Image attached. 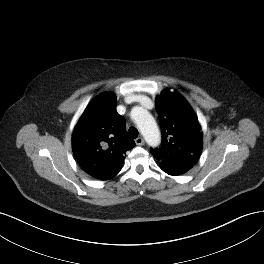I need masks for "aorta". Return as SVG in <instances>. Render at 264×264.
Listing matches in <instances>:
<instances>
[{
    "label": "aorta",
    "instance_id": "obj_1",
    "mask_svg": "<svg viewBox=\"0 0 264 264\" xmlns=\"http://www.w3.org/2000/svg\"><path fill=\"white\" fill-rule=\"evenodd\" d=\"M133 113L135 123L146 142L152 147L159 145L161 140L160 131L152 115L142 107L134 108Z\"/></svg>",
    "mask_w": 264,
    "mask_h": 264
}]
</instances>
